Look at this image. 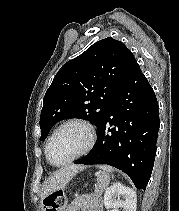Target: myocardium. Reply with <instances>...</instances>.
Here are the masks:
<instances>
[{
    "label": "myocardium",
    "mask_w": 179,
    "mask_h": 211,
    "mask_svg": "<svg viewBox=\"0 0 179 211\" xmlns=\"http://www.w3.org/2000/svg\"><path fill=\"white\" fill-rule=\"evenodd\" d=\"M70 125H78L86 131V134H87L86 144L76 155H74L68 161H66L64 163H60V164H55L50 160V157H49V145H50L52 139L54 138V136L62 128L66 127V126H70ZM95 142H96V131H95V128L92 125V123L89 122L88 120H85L82 118H71V119L63 121L53 130V132L51 133V135L49 136V138L47 139L46 144H45V150H44L45 157H46L47 162L50 165H52L54 167H64V166H67V165L73 163L74 161L78 160L79 158H81L82 156H84L88 152H90L92 150V148L94 147Z\"/></svg>",
    "instance_id": "1"
}]
</instances>
